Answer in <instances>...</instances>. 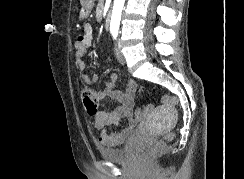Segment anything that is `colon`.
Wrapping results in <instances>:
<instances>
[{"instance_id": "5ec220e1", "label": "colon", "mask_w": 244, "mask_h": 179, "mask_svg": "<svg viewBox=\"0 0 244 179\" xmlns=\"http://www.w3.org/2000/svg\"><path fill=\"white\" fill-rule=\"evenodd\" d=\"M81 101L85 107L88 115H95L98 111V104L95 99V93L91 87H83L80 91ZM163 102L174 106L176 104V96H167L166 93L162 94ZM154 104H147L146 107H136V111H133V116H137V123H146L149 119V112L154 109ZM173 134L169 133L168 137H161V142H155V147H149V150H144L143 158H154V155H158V152H164L166 142H169V138H172Z\"/></svg>"}]
</instances>
